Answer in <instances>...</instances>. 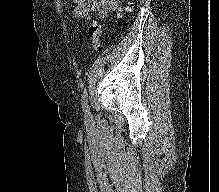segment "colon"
I'll return each instance as SVG.
<instances>
[{
  "label": "colon",
  "mask_w": 219,
  "mask_h": 192,
  "mask_svg": "<svg viewBox=\"0 0 219 192\" xmlns=\"http://www.w3.org/2000/svg\"><path fill=\"white\" fill-rule=\"evenodd\" d=\"M129 9V6L126 7V10ZM89 36L94 47H99L102 37V26L98 21H93L89 27Z\"/></svg>",
  "instance_id": "5ec220e1"
}]
</instances>
